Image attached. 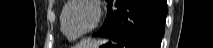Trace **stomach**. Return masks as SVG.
<instances>
[{"mask_svg": "<svg viewBox=\"0 0 213 48\" xmlns=\"http://www.w3.org/2000/svg\"><path fill=\"white\" fill-rule=\"evenodd\" d=\"M109 43L108 40H103V41H100V42H96L95 44L89 46V47H86V48H100L102 47L103 45Z\"/></svg>", "mask_w": 213, "mask_h": 48, "instance_id": "0dacf381", "label": "stomach"}]
</instances>
